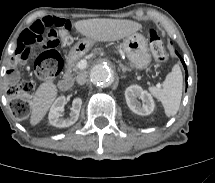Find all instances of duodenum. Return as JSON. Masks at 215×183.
Listing matches in <instances>:
<instances>
[{
    "label": "duodenum",
    "mask_w": 215,
    "mask_h": 183,
    "mask_svg": "<svg viewBox=\"0 0 215 183\" xmlns=\"http://www.w3.org/2000/svg\"><path fill=\"white\" fill-rule=\"evenodd\" d=\"M73 85V79L70 75H65L59 82V88L62 91H68Z\"/></svg>",
    "instance_id": "duodenum-1"
}]
</instances>
